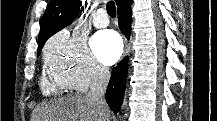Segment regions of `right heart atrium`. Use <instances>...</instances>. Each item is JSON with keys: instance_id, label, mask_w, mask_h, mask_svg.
<instances>
[{"instance_id": "1", "label": "right heart atrium", "mask_w": 217, "mask_h": 121, "mask_svg": "<svg viewBox=\"0 0 217 121\" xmlns=\"http://www.w3.org/2000/svg\"><path fill=\"white\" fill-rule=\"evenodd\" d=\"M45 63L53 78L76 91H85L108 79V70L99 64L81 36L61 31L49 39Z\"/></svg>"}]
</instances>
